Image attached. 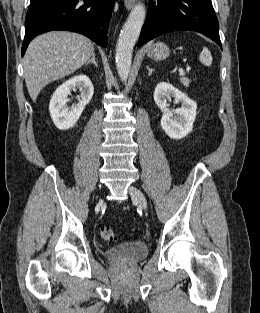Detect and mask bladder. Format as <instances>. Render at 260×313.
<instances>
[{
  "label": "bladder",
  "instance_id": "obj_1",
  "mask_svg": "<svg viewBox=\"0 0 260 313\" xmlns=\"http://www.w3.org/2000/svg\"><path fill=\"white\" fill-rule=\"evenodd\" d=\"M148 254V246L144 241L131 240L106 249L104 257L109 261L138 260Z\"/></svg>",
  "mask_w": 260,
  "mask_h": 313
}]
</instances>
